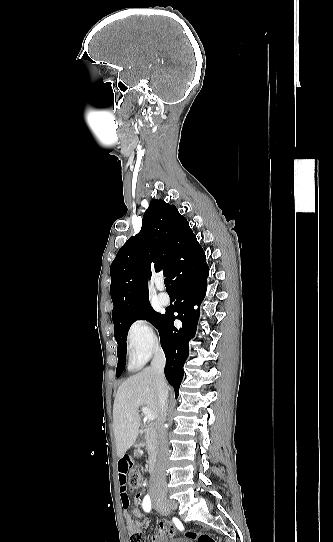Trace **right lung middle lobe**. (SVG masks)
I'll list each match as a JSON object with an SVG mask.
<instances>
[{
    "label": "right lung middle lobe",
    "instance_id": "right-lung-middle-lobe-1",
    "mask_svg": "<svg viewBox=\"0 0 333 542\" xmlns=\"http://www.w3.org/2000/svg\"><path fill=\"white\" fill-rule=\"evenodd\" d=\"M164 315H161L154 311L150 305L144 306L136 311L128 313L120 318L113 320L115 326V339L118 343L117 355H118V364L116 370V376L119 377L126 364V352L127 344L126 337L130 326L140 319H144L152 323L156 328L159 327Z\"/></svg>",
    "mask_w": 333,
    "mask_h": 542
}]
</instances>
